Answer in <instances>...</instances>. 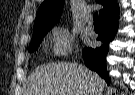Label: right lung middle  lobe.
Returning <instances> with one entry per match:
<instances>
[{
	"label": "right lung middle lobe",
	"instance_id": "dd1d6c3e",
	"mask_svg": "<svg viewBox=\"0 0 135 95\" xmlns=\"http://www.w3.org/2000/svg\"><path fill=\"white\" fill-rule=\"evenodd\" d=\"M49 30L41 31V32H34L30 44V53L36 51L38 46L40 45L43 37L47 34Z\"/></svg>",
	"mask_w": 135,
	"mask_h": 95
}]
</instances>
